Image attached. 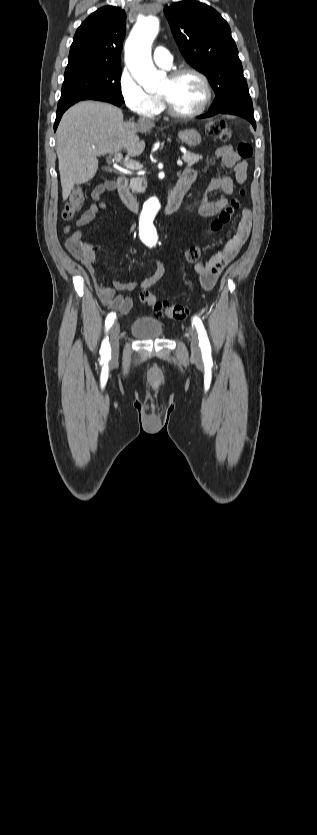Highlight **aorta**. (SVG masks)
<instances>
[{
    "label": "aorta",
    "instance_id": "aorta-1",
    "mask_svg": "<svg viewBox=\"0 0 317 835\" xmlns=\"http://www.w3.org/2000/svg\"><path fill=\"white\" fill-rule=\"evenodd\" d=\"M160 20L156 15H147L137 21L125 43V62L133 78L146 92L158 89L166 74L156 69L151 58V47L159 32ZM160 203L150 198L143 207L140 219V234L157 240L154 220Z\"/></svg>",
    "mask_w": 317,
    "mask_h": 835
}]
</instances>
